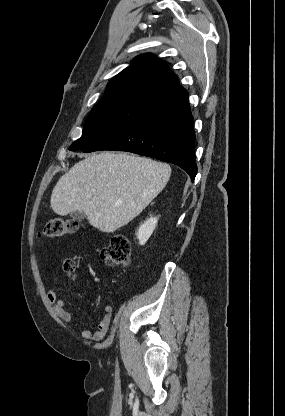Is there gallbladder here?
I'll use <instances>...</instances> for the list:
<instances>
[{"mask_svg": "<svg viewBox=\"0 0 285 416\" xmlns=\"http://www.w3.org/2000/svg\"><path fill=\"white\" fill-rule=\"evenodd\" d=\"M70 216L74 222H82L85 218V214H82V212H71Z\"/></svg>", "mask_w": 285, "mask_h": 416, "instance_id": "1", "label": "gallbladder"}]
</instances>
